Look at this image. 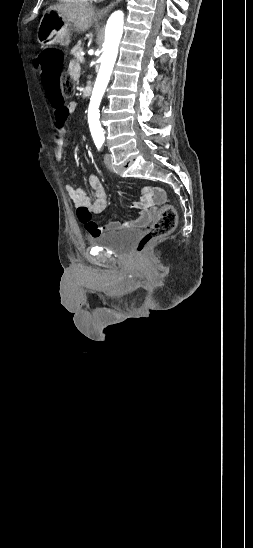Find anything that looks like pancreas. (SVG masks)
Returning a JSON list of instances; mask_svg holds the SVG:
<instances>
[{
	"label": "pancreas",
	"mask_w": 253,
	"mask_h": 548,
	"mask_svg": "<svg viewBox=\"0 0 253 548\" xmlns=\"http://www.w3.org/2000/svg\"><path fill=\"white\" fill-rule=\"evenodd\" d=\"M82 50L83 48L81 47L80 44L74 46L73 49L71 50V54L75 57L76 61H80V58L82 57L81 56Z\"/></svg>",
	"instance_id": "1"
}]
</instances>
